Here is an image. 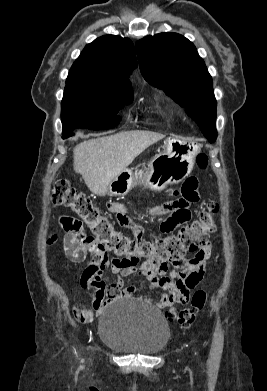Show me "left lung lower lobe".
Wrapping results in <instances>:
<instances>
[{"label": "left lung lower lobe", "instance_id": "left-lung-lower-lobe-1", "mask_svg": "<svg viewBox=\"0 0 267 391\" xmlns=\"http://www.w3.org/2000/svg\"><path fill=\"white\" fill-rule=\"evenodd\" d=\"M204 135L208 138V140H209L210 142H213V141H214L213 136L211 135L210 132L206 131V132L204 133Z\"/></svg>", "mask_w": 267, "mask_h": 391}]
</instances>
